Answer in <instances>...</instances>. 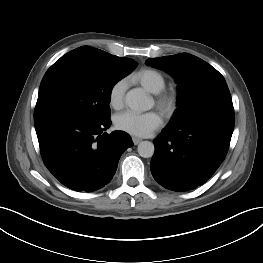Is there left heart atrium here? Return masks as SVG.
I'll list each match as a JSON object with an SVG mask.
<instances>
[{
    "instance_id": "obj_1",
    "label": "left heart atrium",
    "mask_w": 263,
    "mask_h": 263,
    "mask_svg": "<svg viewBox=\"0 0 263 263\" xmlns=\"http://www.w3.org/2000/svg\"><path fill=\"white\" fill-rule=\"evenodd\" d=\"M114 124L121 131L134 136L144 137L160 127L162 118L155 111L137 113L128 110L116 115Z\"/></svg>"
}]
</instances>
